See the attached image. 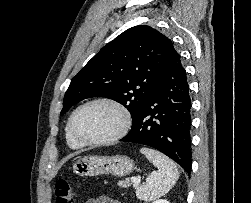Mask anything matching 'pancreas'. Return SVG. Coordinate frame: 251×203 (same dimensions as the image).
<instances>
[{"instance_id":"cf45deb5","label":"pancreas","mask_w":251,"mask_h":203,"mask_svg":"<svg viewBox=\"0 0 251 203\" xmlns=\"http://www.w3.org/2000/svg\"><path fill=\"white\" fill-rule=\"evenodd\" d=\"M118 185L120 187L127 188V187H129L131 185V182H130L129 179H126V180L119 181Z\"/></svg>"}]
</instances>
